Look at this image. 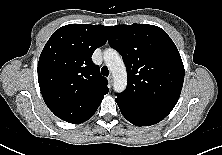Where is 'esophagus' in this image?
I'll use <instances>...</instances> for the list:
<instances>
[{
  "label": "esophagus",
  "mask_w": 222,
  "mask_h": 155,
  "mask_svg": "<svg viewBox=\"0 0 222 155\" xmlns=\"http://www.w3.org/2000/svg\"><path fill=\"white\" fill-rule=\"evenodd\" d=\"M108 81H109L110 84H112V82H113V76H112V75H110V76L108 77Z\"/></svg>",
  "instance_id": "obj_1"
}]
</instances>
